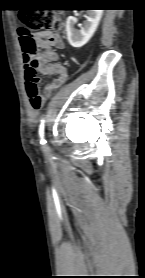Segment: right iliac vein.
Here are the masks:
<instances>
[{"mask_svg": "<svg viewBox=\"0 0 145 278\" xmlns=\"http://www.w3.org/2000/svg\"><path fill=\"white\" fill-rule=\"evenodd\" d=\"M47 149V147H43V150H46Z\"/></svg>", "mask_w": 145, "mask_h": 278, "instance_id": "obj_1", "label": "right iliac vein"}]
</instances>
